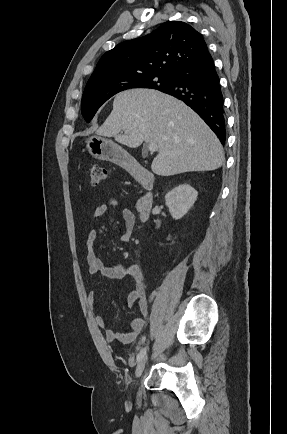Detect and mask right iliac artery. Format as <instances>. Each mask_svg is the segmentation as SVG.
I'll use <instances>...</instances> for the list:
<instances>
[{"label": "right iliac artery", "mask_w": 287, "mask_h": 434, "mask_svg": "<svg viewBox=\"0 0 287 434\" xmlns=\"http://www.w3.org/2000/svg\"><path fill=\"white\" fill-rule=\"evenodd\" d=\"M147 348L148 347H144L143 349H141V351L137 355V361H140L145 356Z\"/></svg>", "instance_id": "82829eb1"}]
</instances>
